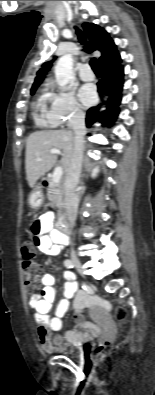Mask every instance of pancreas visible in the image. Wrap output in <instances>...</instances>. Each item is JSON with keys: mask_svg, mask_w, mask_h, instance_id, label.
I'll use <instances>...</instances> for the list:
<instances>
[{"mask_svg": "<svg viewBox=\"0 0 155 395\" xmlns=\"http://www.w3.org/2000/svg\"><path fill=\"white\" fill-rule=\"evenodd\" d=\"M49 187L47 189V197L51 201V204L57 208L63 207V185L58 182H53L52 178H49Z\"/></svg>", "mask_w": 155, "mask_h": 395, "instance_id": "obj_1", "label": "pancreas"}]
</instances>
